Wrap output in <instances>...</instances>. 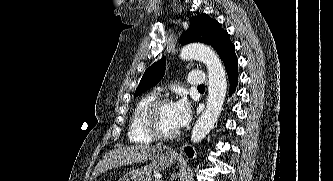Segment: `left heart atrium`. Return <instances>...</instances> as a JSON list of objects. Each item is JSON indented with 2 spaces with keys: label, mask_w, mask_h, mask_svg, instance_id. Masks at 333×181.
Instances as JSON below:
<instances>
[{
  "label": "left heart atrium",
  "mask_w": 333,
  "mask_h": 181,
  "mask_svg": "<svg viewBox=\"0 0 333 181\" xmlns=\"http://www.w3.org/2000/svg\"><path fill=\"white\" fill-rule=\"evenodd\" d=\"M173 118L178 129L189 123L191 119V109L186 99H180L173 103Z\"/></svg>",
  "instance_id": "left-heart-atrium-1"
}]
</instances>
